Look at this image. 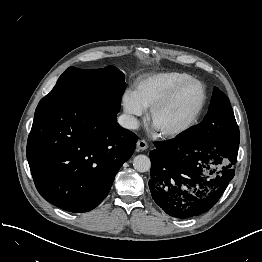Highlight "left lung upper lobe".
Instances as JSON below:
<instances>
[{
  "mask_svg": "<svg viewBox=\"0 0 262 262\" xmlns=\"http://www.w3.org/2000/svg\"><path fill=\"white\" fill-rule=\"evenodd\" d=\"M222 133H239V128L228 97L218 88H214L211 104L204 120L179 136L207 140Z\"/></svg>",
  "mask_w": 262,
  "mask_h": 262,
  "instance_id": "5c2ea615",
  "label": "left lung upper lobe"
}]
</instances>
